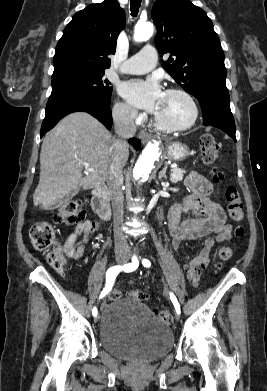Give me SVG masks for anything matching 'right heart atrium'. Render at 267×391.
I'll list each match as a JSON object with an SVG mask.
<instances>
[{"instance_id":"right-heart-atrium-1","label":"right heart atrium","mask_w":267,"mask_h":391,"mask_svg":"<svg viewBox=\"0 0 267 391\" xmlns=\"http://www.w3.org/2000/svg\"><path fill=\"white\" fill-rule=\"evenodd\" d=\"M112 113L114 120L123 125H132L144 118L129 104L121 101L115 103Z\"/></svg>"}]
</instances>
